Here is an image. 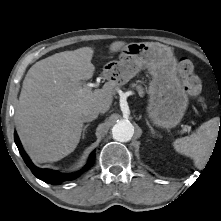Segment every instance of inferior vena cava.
<instances>
[{
    "instance_id": "obj_1",
    "label": "inferior vena cava",
    "mask_w": 221,
    "mask_h": 221,
    "mask_svg": "<svg viewBox=\"0 0 221 221\" xmlns=\"http://www.w3.org/2000/svg\"><path fill=\"white\" fill-rule=\"evenodd\" d=\"M99 113H100V110L98 107L91 106V107L85 108L81 112L80 117L83 122H90L96 119Z\"/></svg>"
}]
</instances>
